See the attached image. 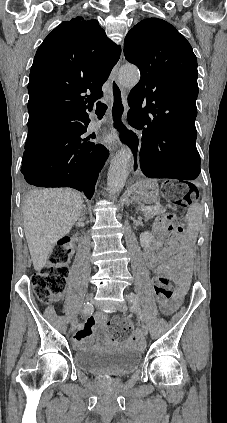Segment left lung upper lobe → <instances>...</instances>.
<instances>
[{"label":"left lung upper lobe","instance_id":"5c2ea615","mask_svg":"<svg viewBox=\"0 0 227 423\" xmlns=\"http://www.w3.org/2000/svg\"><path fill=\"white\" fill-rule=\"evenodd\" d=\"M124 54L141 72L128 96L131 109L197 115V59L174 26L158 18L140 21L124 40Z\"/></svg>","mask_w":227,"mask_h":423}]
</instances>
